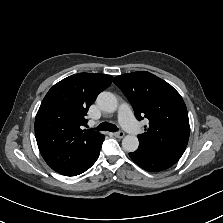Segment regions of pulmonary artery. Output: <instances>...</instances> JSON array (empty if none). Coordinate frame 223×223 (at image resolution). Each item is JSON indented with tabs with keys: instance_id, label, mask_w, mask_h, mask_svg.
<instances>
[{
	"instance_id": "e3ab8cb5",
	"label": "pulmonary artery",
	"mask_w": 223,
	"mask_h": 223,
	"mask_svg": "<svg viewBox=\"0 0 223 223\" xmlns=\"http://www.w3.org/2000/svg\"><path fill=\"white\" fill-rule=\"evenodd\" d=\"M117 117L121 122V128L128 133H138L142 129V124L138 120H132V110L128 106H122L117 111Z\"/></svg>"
}]
</instances>
